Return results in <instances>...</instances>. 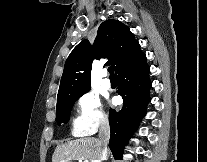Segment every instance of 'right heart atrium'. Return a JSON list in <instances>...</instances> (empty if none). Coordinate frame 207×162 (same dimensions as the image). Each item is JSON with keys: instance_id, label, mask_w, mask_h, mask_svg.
<instances>
[{"instance_id": "1", "label": "right heart atrium", "mask_w": 207, "mask_h": 162, "mask_svg": "<svg viewBox=\"0 0 207 162\" xmlns=\"http://www.w3.org/2000/svg\"><path fill=\"white\" fill-rule=\"evenodd\" d=\"M76 108L75 131L78 135H90L108 121L99 98L91 91L83 93L78 98Z\"/></svg>"}]
</instances>
